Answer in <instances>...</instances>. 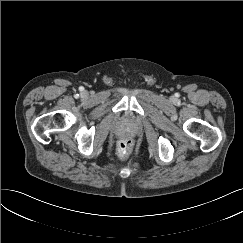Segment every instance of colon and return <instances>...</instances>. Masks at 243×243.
Segmentation results:
<instances>
[{
    "mask_svg": "<svg viewBox=\"0 0 243 243\" xmlns=\"http://www.w3.org/2000/svg\"><path fill=\"white\" fill-rule=\"evenodd\" d=\"M132 148V142L130 140H122L118 145V152L121 156H127Z\"/></svg>",
    "mask_w": 243,
    "mask_h": 243,
    "instance_id": "1",
    "label": "colon"
}]
</instances>
